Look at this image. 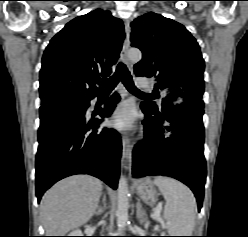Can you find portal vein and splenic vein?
I'll return each instance as SVG.
<instances>
[{"mask_svg":"<svg viewBox=\"0 0 248 237\" xmlns=\"http://www.w3.org/2000/svg\"><path fill=\"white\" fill-rule=\"evenodd\" d=\"M161 209H162V204L160 203L155 212V219L157 222H162V219L160 218Z\"/></svg>","mask_w":248,"mask_h":237,"instance_id":"1","label":"portal vein and splenic vein"}]
</instances>
